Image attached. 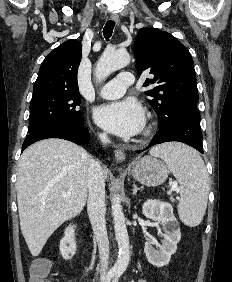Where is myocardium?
I'll return each mask as SVG.
<instances>
[{
    "mask_svg": "<svg viewBox=\"0 0 232 282\" xmlns=\"http://www.w3.org/2000/svg\"><path fill=\"white\" fill-rule=\"evenodd\" d=\"M153 129H154V124H153V123H150V124L146 127V129L144 130L143 136H144V137L149 136V135L152 133Z\"/></svg>",
    "mask_w": 232,
    "mask_h": 282,
    "instance_id": "myocardium-1",
    "label": "myocardium"
}]
</instances>
